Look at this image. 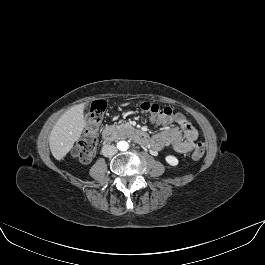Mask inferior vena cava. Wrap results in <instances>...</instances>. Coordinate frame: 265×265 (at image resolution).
I'll return each instance as SVG.
<instances>
[{"mask_svg": "<svg viewBox=\"0 0 265 265\" xmlns=\"http://www.w3.org/2000/svg\"><path fill=\"white\" fill-rule=\"evenodd\" d=\"M117 153V148L113 145H104L102 147V154L105 157H112Z\"/></svg>", "mask_w": 265, "mask_h": 265, "instance_id": "inferior-vena-cava-1", "label": "inferior vena cava"}]
</instances>
